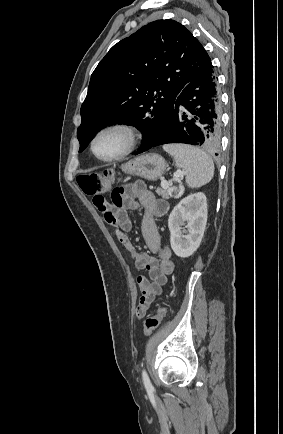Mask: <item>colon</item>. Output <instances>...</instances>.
<instances>
[{
    "mask_svg": "<svg viewBox=\"0 0 283 434\" xmlns=\"http://www.w3.org/2000/svg\"><path fill=\"white\" fill-rule=\"evenodd\" d=\"M112 172L105 171L103 173H84L77 177V182L81 190L88 196H96L106 190L111 182ZM166 313L163 304L159 305L156 311L149 315L144 321L143 334L151 335L158 327Z\"/></svg>",
    "mask_w": 283,
    "mask_h": 434,
    "instance_id": "colon-1",
    "label": "colon"
}]
</instances>
